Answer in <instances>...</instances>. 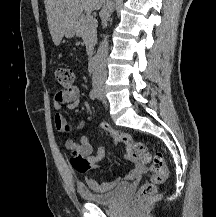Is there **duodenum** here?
<instances>
[{
    "label": "duodenum",
    "mask_w": 216,
    "mask_h": 217,
    "mask_svg": "<svg viewBox=\"0 0 216 217\" xmlns=\"http://www.w3.org/2000/svg\"><path fill=\"white\" fill-rule=\"evenodd\" d=\"M94 69H95V57L93 54H91L88 61V70L92 72L94 71Z\"/></svg>",
    "instance_id": "obj_1"
}]
</instances>
